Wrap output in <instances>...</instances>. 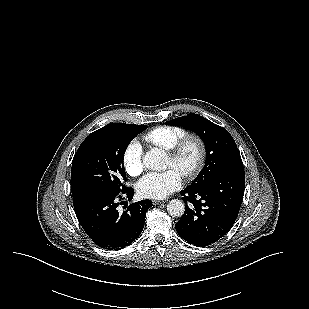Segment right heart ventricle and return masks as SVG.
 Instances as JSON below:
<instances>
[{"label": "right heart ventricle", "instance_id": "e07e8e85", "mask_svg": "<svg viewBox=\"0 0 309 309\" xmlns=\"http://www.w3.org/2000/svg\"><path fill=\"white\" fill-rule=\"evenodd\" d=\"M188 132L179 126H158L146 132L142 139L152 147L169 150Z\"/></svg>", "mask_w": 309, "mask_h": 309}]
</instances>
